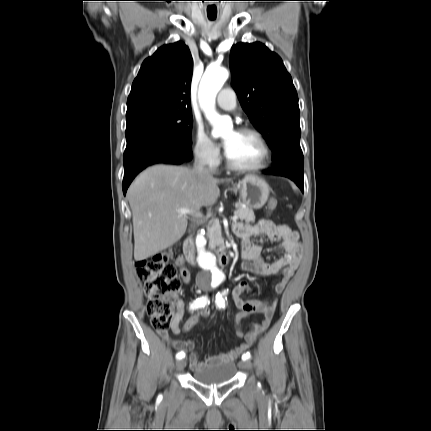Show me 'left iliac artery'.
<instances>
[{
	"instance_id": "obj_1",
	"label": "left iliac artery",
	"mask_w": 431,
	"mask_h": 431,
	"mask_svg": "<svg viewBox=\"0 0 431 431\" xmlns=\"http://www.w3.org/2000/svg\"><path fill=\"white\" fill-rule=\"evenodd\" d=\"M226 292H224L223 294H218L217 296H216V300H215V302H216V304H217V306L219 307V308H225V299L223 298V296L222 295H224ZM251 357V355H250V353L249 352H247L246 354H244L243 356H242V359L243 360H246V359H249Z\"/></svg>"
}]
</instances>
